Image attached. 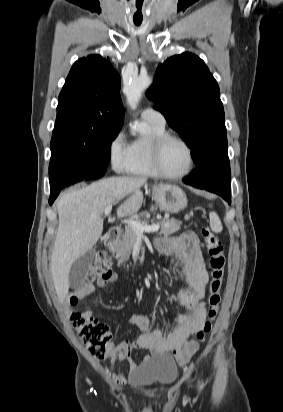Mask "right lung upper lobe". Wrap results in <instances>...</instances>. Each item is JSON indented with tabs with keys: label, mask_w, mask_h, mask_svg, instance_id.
Segmentation results:
<instances>
[{
	"label": "right lung upper lobe",
	"mask_w": 283,
	"mask_h": 412,
	"mask_svg": "<svg viewBox=\"0 0 283 412\" xmlns=\"http://www.w3.org/2000/svg\"><path fill=\"white\" fill-rule=\"evenodd\" d=\"M120 77L108 59L90 55L77 60L59 95L57 120L79 118L95 130L120 131L124 109Z\"/></svg>",
	"instance_id": "right-lung-upper-lobe-1"
}]
</instances>
